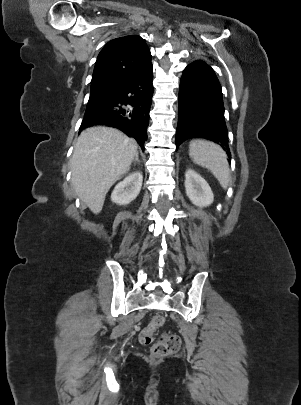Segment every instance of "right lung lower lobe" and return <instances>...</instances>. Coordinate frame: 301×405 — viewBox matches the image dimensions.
I'll return each mask as SVG.
<instances>
[{
	"instance_id": "obj_1",
	"label": "right lung lower lobe",
	"mask_w": 301,
	"mask_h": 405,
	"mask_svg": "<svg viewBox=\"0 0 301 405\" xmlns=\"http://www.w3.org/2000/svg\"><path fill=\"white\" fill-rule=\"evenodd\" d=\"M152 79L150 60L110 98L86 109L80 131L94 125L114 127L134 137L144 150L154 90Z\"/></svg>"
}]
</instances>
